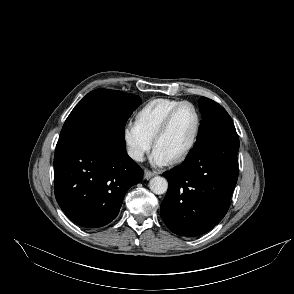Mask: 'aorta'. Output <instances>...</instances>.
<instances>
[{
    "instance_id": "1",
    "label": "aorta",
    "mask_w": 294,
    "mask_h": 294,
    "mask_svg": "<svg viewBox=\"0 0 294 294\" xmlns=\"http://www.w3.org/2000/svg\"><path fill=\"white\" fill-rule=\"evenodd\" d=\"M150 190L157 194H164L168 189V182L164 177L155 176L149 182Z\"/></svg>"
}]
</instances>
